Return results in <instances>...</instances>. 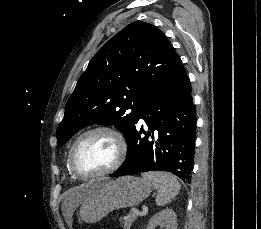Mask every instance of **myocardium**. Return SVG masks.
Here are the masks:
<instances>
[{
    "label": "myocardium",
    "mask_w": 261,
    "mask_h": 229,
    "mask_svg": "<svg viewBox=\"0 0 261 229\" xmlns=\"http://www.w3.org/2000/svg\"><path fill=\"white\" fill-rule=\"evenodd\" d=\"M97 133H104L109 135L117 148V156L114 161V163L106 170L100 171V172H95V173H85L77 169V167L74 164V154L76 149L81 145V143L89 136L97 134ZM127 156V144L125 141V138L123 135L116 130L115 128L109 127V126H98L91 128L84 133H82L72 144L69 154H68V168L69 170L77 177L82 178V179H91V178H97V177H102L106 176L109 174H112L116 170L120 168V166L123 164Z\"/></svg>",
    "instance_id": "myocardium-1"
}]
</instances>
